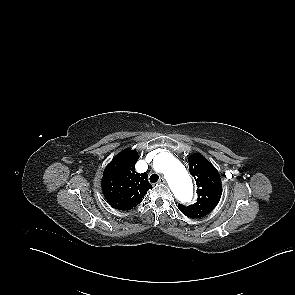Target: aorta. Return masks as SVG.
Returning <instances> with one entry per match:
<instances>
[{
  "label": "aorta",
  "mask_w": 295,
  "mask_h": 295,
  "mask_svg": "<svg viewBox=\"0 0 295 295\" xmlns=\"http://www.w3.org/2000/svg\"><path fill=\"white\" fill-rule=\"evenodd\" d=\"M156 163L175 197L183 203L190 202L193 196V184L185 167L168 152L160 153L156 157Z\"/></svg>",
  "instance_id": "aorta-1"
}]
</instances>
